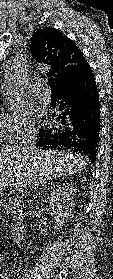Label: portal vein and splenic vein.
Instances as JSON below:
<instances>
[{"mask_svg":"<svg viewBox=\"0 0 113 279\" xmlns=\"http://www.w3.org/2000/svg\"><path fill=\"white\" fill-rule=\"evenodd\" d=\"M16 188H17V190H18L19 192H23V191L26 189V186H24V185H18Z\"/></svg>","mask_w":113,"mask_h":279,"instance_id":"obj_1","label":"portal vein and splenic vein"}]
</instances>
